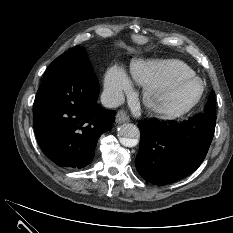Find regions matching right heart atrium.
<instances>
[{
    "instance_id": "right-heart-atrium-1",
    "label": "right heart atrium",
    "mask_w": 233,
    "mask_h": 233,
    "mask_svg": "<svg viewBox=\"0 0 233 233\" xmlns=\"http://www.w3.org/2000/svg\"><path fill=\"white\" fill-rule=\"evenodd\" d=\"M104 93L110 103H118L124 94L132 91L131 82L125 71L119 66L108 69L104 76Z\"/></svg>"
}]
</instances>
